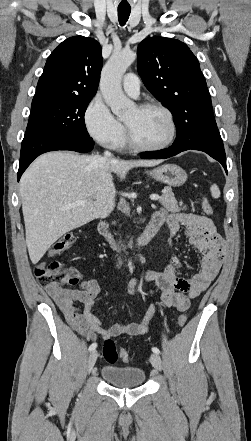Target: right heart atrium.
Segmentation results:
<instances>
[{
  "label": "right heart atrium",
  "mask_w": 251,
  "mask_h": 441,
  "mask_svg": "<svg viewBox=\"0 0 251 441\" xmlns=\"http://www.w3.org/2000/svg\"><path fill=\"white\" fill-rule=\"evenodd\" d=\"M89 135L98 143L116 147L124 136V127L100 96H95L84 113Z\"/></svg>",
  "instance_id": "1"
}]
</instances>
